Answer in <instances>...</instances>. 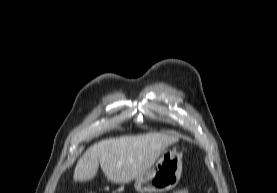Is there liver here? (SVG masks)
Wrapping results in <instances>:
<instances>
[{"label":"liver","instance_id":"1","mask_svg":"<svg viewBox=\"0 0 277 193\" xmlns=\"http://www.w3.org/2000/svg\"><path fill=\"white\" fill-rule=\"evenodd\" d=\"M177 137L161 133L110 138L89 147L76 164L75 181H87L98 172L99 163L107 179L125 184L150 170L166 147Z\"/></svg>","mask_w":277,"mask_h":193}]
</instances>
